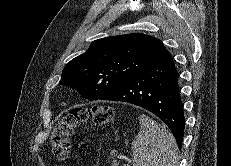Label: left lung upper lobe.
Returning a JSON list of instances; mask_svg holds the SVG:
<instances>
[{
	"label": "left lung upper lobe",
	"mask_w": 231,
	"mask_h": 166,
	"mask_svg": "<svg viewBox=\"0 0 231 166\" xmlns=\"http://www.w3.org/2000/svg\"><path fill=\"white\" fill-rule=\"evenodd\" d=\"M165 50L160 40L140 33L98 39L66 64L60 84L76 88L91 101L98 100Z\"/></svg>",
	"instance_id": "1"
}]
</instances>
